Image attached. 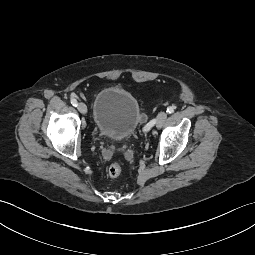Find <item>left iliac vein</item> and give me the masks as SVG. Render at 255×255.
I'll list each match as a JSON object with an SVG mask.
<instances>
[{"label": "left iliac vein", "mask_w": 255, "mask_h": 255, "mask_svg": "<svg viewBox=\"0 0 255 255\" xmlns=\"http://www.w3.org/2000/svg\"><path fill=\"white\" fill-rule=\"evenodd\" d=\"M166 117H167L166 112L161 111V112L158 113V115L155 118V124H156L157 128H161L162 127Z\"/></svg>", "instance_id": "obj_1"}]
</instances>
